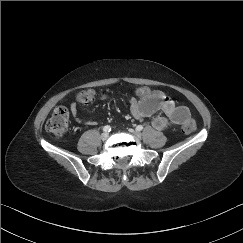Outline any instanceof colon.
Returning a JSON list of instances; mask_svg holds the SVG:
<instances>
[{
  "instance_id": "1",
  "label": "colon",
  "mask_w": 243,
  "mask_h": 243,
  "mask_svg": "<svg viewBox=\"0 0 243 243\" xmlns=\"http://www.w3.org/2000/svg\"><path fill=\"white\" fill-rule=\"evenodd\" d=\"M78 101L82 104H89L94 99V92L92 89L87 88L83 89L78 94ZM45 128L47 132L56 136L62 137L66 134L68 130V111L65 107L59 106L56 107L47 120ZM196 123L193 119H188L183 125V131L185 133H191L195 130Z\"/></svg>"
}]
</instances>
